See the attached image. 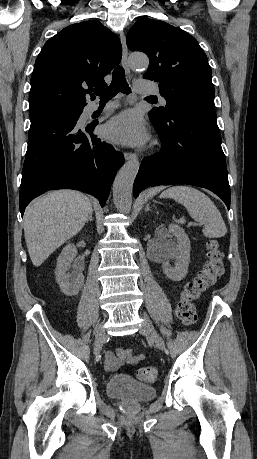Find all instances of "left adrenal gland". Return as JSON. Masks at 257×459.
I'll list each match as a JSON object with an SVG mask.
<instances>
[{
	"label": "left adrenal gland",
	"instance_id": "obj_1",
	"mask_svg": "<svg viewBox=\"0 0 257 459\" xmlns=\"http://www.w3.org/2000/svg\"><path fill=\"white\" fill-rule=\"evenodd\" d=\"M147 211H151V207H150L149 204H147V205H146V208H145V212H147Z\"/></svg>",
	"mask_w": 257,
	"mask_h": 459
}]
</instances>
